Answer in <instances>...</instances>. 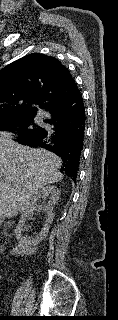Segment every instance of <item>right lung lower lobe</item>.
<instances>
[{"mask_svg": "<svg viewBox=\"0 0 118 320\" xmlns=\"http://www.w3.org/2000/svg\"><path fill=\"white\" fill-rule=\"evenodd\" d=\"M46 127L16 141L30 147H42L58 155L61 172L76 180L83 150L86 115L82 94L60 102L48 111Z\"/></svg>", "mask_w": 118, "mask_h": 320, "instance_id": "1", "label": "right lung lower lobe"}]
</instances>
